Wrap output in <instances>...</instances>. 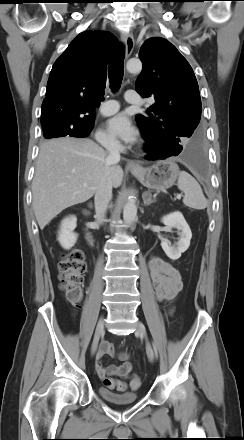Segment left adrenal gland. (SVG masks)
I'll list each match as a JSON object with an SVG mask.
<instances>
[{
  "instance_id": "left-adrenal-gland-1",
  "label": "left adrenal gland",
  "mask_w": 244,
  "mask_h": 440,
  "mask_svg": "<svg viewBox=\"0 0 244 440\" xmlns=\"http://www.w3.org/2000/svg\"><path fill=\"white\" fill-rule=\"evenodd\" d=\"M151 196H152L151 193H146L145 195L142 196L145 206H149L155 202V199H152Z\"/></svg>"
}]
</instances>
